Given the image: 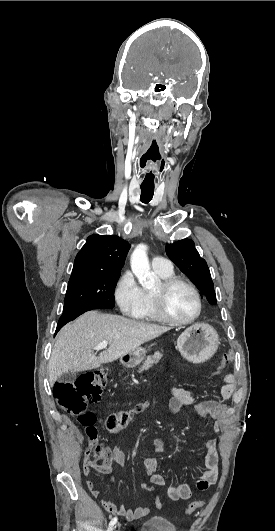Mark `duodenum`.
I'll return each instance as SVG.
<instances>
[{
  "instance_id": "1",
  "label": "duodenum",
  "mask_w": 275,
  "mask_h": 531,
  "mask_svg": "<svg viewBox=\"0 0 275 531\" xmlns=\"http://www.w3.org/2000/svg\"><path fill=\"white\" fill-rule=\"evenodd\" d=\"M131 361V358L130 356H123L120 358V362L123 363V364H129Z\"/></svg>"
}]
</instances>
